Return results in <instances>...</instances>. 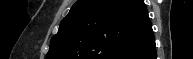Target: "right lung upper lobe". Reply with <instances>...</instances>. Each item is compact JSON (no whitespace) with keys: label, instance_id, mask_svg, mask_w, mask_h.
<instances>
[{"label":"right lung upper lobe","instance_id":"obj_1","mask_svg":"<svg viewBox=\"0 0 193 59\" xmlns=\"http://www.w3.org/2000/svg\"><path fill=\"white\" fill-rule=\"evenodd\" d=\"M151 35L143 0H79L52 37L46 59H121Z\"/></svg>","mask_w":193,"mask_h":59}]
</instances>
